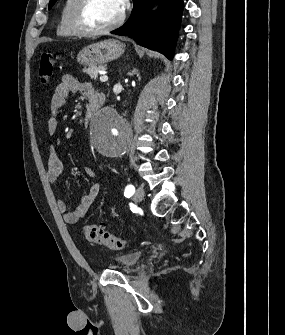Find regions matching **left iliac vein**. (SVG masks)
Returning <instances> with one entry per match:
<instances>
[{
    "instance_id": "left-iliac-vein-1",
    "label": "left iliac vein",
    "mask_w": 285,
    "mask_h": 335,
    "mask_svg": "<svg viewBox=\"0 0 285 335\" xmlns=\"http://www.w3.org/2000/svg\"><path fill=\"white\" fill-rule=\"evenodd\" d=\"M144 195H145V191L143 187L139 186L137 190L135 191L133 198L136 202H141L144 199Z\"/></svg>"
}]
</instances>
